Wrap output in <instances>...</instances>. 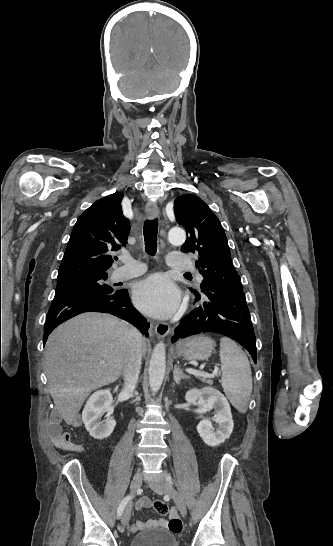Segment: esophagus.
Returning a JSON list of instances; mask_svg holds the SVG:
<instances>
[{
  "mask_svg": "<svg viewBox=\"0 0 333 546\" xmlns=\"http://www.w3.org/2000/svg\"><path fill=\"white\" fill-rule=\"evenodd\" d=\"M147 215L150 219H155L159 215V208L155 202H148L146 206ZM170 332V325L165 322H159L155 326V334L158 338H163Z\"/></svg>",
  "mask_w": 333,
  "mask_h": 546,
  "instance_id": "obj_1",
  "label": "esophagus"
}]
</instances>
